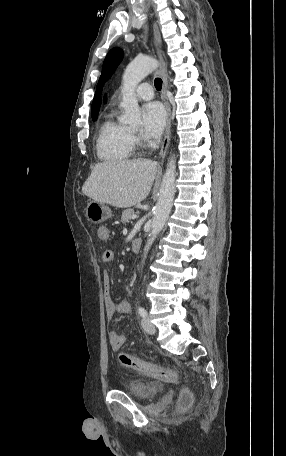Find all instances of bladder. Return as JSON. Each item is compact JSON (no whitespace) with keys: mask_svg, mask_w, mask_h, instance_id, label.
<instances>
[{"mask_svg":"<svg viewBox=\"0 0 286 456\" xmlns=\"http://www.w3.org/2000/svg\"><path fill=\"white\" fill-rule=\"evenodd\" d=\"M124 389L140 400H149L160 392V387L156 383L142 379L130 380Z\"/></svg>","mask_w":286,"mask_h":456,"instance_id":"1","label":"bladder"}]
</instances>
